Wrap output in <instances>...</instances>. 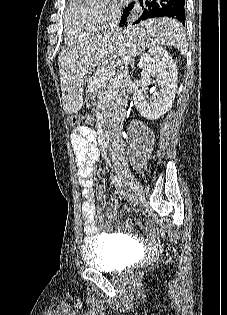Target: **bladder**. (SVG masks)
<instances>
[{
    "mask_svg": "<svg viewBox=\"0 0 227 315\" xmlns=\"http://www.w3.org/2000/svg\"><path fill=\"white\" fill-rule=\"evenodd\" d=\"M129 244L116 235L85 237L82 243V258L85 265L101 271L124 267L123 261L130 251Z\"/></svg>",
    "mask_w": 227,
    "mask_h": 315,
    "instance_id": "bladder-1",
    "label": "bladder"
}]
</instances>
